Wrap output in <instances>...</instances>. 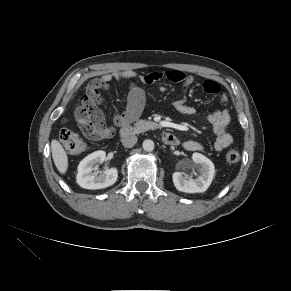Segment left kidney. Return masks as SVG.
<instances>
[{"instance_id": "1", "label": "left kidney", "mask_w": 291, "mask_h": 291, "mask_svg": "<svg viewBox=\"0 0 291 291\" xmlns=\"http://www.w3.org/2000/svg\"><path fill=\"white\" fill-rule=\"evenodd\" d=\"M193 162L197 165L199 175L196 179L182 172L173 173V183L177 190L185 193H202L210 186L215 167L213 162L200 153H194Z\"/></svg>"}]
</instances>
